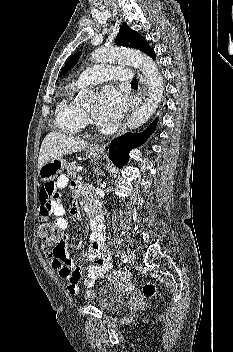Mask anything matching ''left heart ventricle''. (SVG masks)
I'll return each mask as SVG.
<instances>
[{
    "label": "left heart ventricle",
    "instance_id": "1",
    "mask_svg": "<svg viewBox=\"0 0 233 352\" xmlns=\"http://www.w3.org/2000/svg\"><path fill=\"white\" fill-rule=\"evenodd\" d=\"M85 111L88 113V114H92L93 113V107H88L85 109Z\"/></svg>",
    "mask_w": 233,
    "mask_h": 352
}]
</instances>
